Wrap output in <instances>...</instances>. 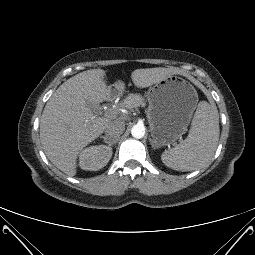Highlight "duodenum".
<instances>
[{
	"mask_svg": "<svg viewBox=\"0 0 255 255\" xmlns=\"http://www.w3.org/2000/svg\"><path fill=\"white\" fill-rule=\"evenodd\" d=\"M116 92L115 88H112L108 91V96L111 97Z\"/></svg>",
	"mask_w": 255,
	"mask_h": 255,
	"instance_id": "1",
	"label": "duodenum"
}]
</instances>
